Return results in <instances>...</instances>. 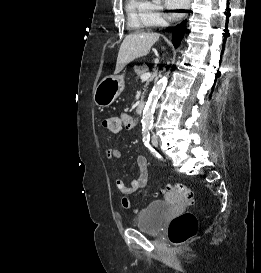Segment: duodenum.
<instances>
[{
    "label": "duodenum",
    "mask_w": 261,
    "mask_h": 273,
    "mask_svg": "<svg viewBox=\"0 0 261 273\" xmlns=\"http://www.w3.org/2000/svg\"><path fill=\"white\" fill-rule=\"evenodd\" d=\"M145 109V103L144 102H140L137 106V114L140 115L143 113Z\"/></svg>",
    "instance_id": "1"
}]
</instances>
